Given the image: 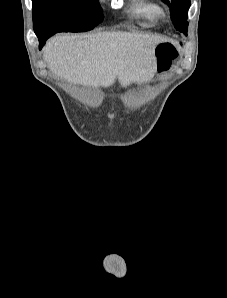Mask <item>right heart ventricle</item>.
Masks as SVG:
<instances>
[{
	"label": "right heart ventricle",
	"instance_id": "obj_1",
	"mask_svg": "<svg viewBox=\"0 0 227 298\" xmlns=\"http://www.w3.org/2000/svg\"><path fill=\"white\" fill-rule=\"evenodd\" d=\"M132 11L147 25H153L164 16L163 7L153 0H133Z\"/></svg>",
	"mask_w": 227,
	"mask_h": 298
}]
</instances>
